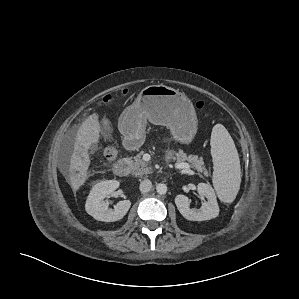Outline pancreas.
<instances>
[{
  "instance_id": "1",
  "label": "pancreas",
  "mask_w": 299,
  "mask_h": 299,
  "mask_svg": "<svg viewBox=\"0 0 299 299\" xmlns=\"http://www.w3.org/2000/svg\"><path fill=\"white\" fill-rule=\"evenodd\" d=\"M175 160L177 163L189 162L192 167L200 173H204L207 175V169L205 168L204 161L202 157H198L197 155H186L182 151L176 153ZM131 166V172L135 176H143L151 173V168L148 167V164L141 159V154H138L132 158H128Z\"/></svg>"
}]
</instances>
